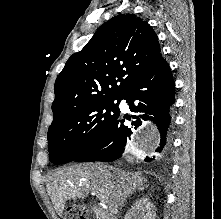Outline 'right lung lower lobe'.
Masks as SVG:
<instances>
[{
    "mask_svg": "<svg viewBox=\"0 0 221 219\" xmlns=\"http://www.w3.org/2000/svg\"><path fill=\"white\" fill-rule=\"evenodd\" d=\"M175 84L168 63L160 56L145 72L131 84L120 100H126L137 129L142 126L145 138L151 147L146 151L145 162L165 160L171 150V107L175 98ZM121 115L114 121L104 136L75 162H111L122 156L126 143L133 135L132 128L124 125Z\"/></svg>",
    "mask_w": 221,
    "mask_h": 219,
    "instance_id": "1",
    "label": "right lung lower lobe"
}]
</instances>
